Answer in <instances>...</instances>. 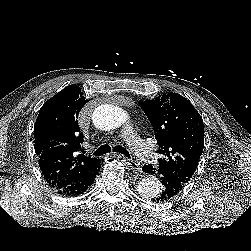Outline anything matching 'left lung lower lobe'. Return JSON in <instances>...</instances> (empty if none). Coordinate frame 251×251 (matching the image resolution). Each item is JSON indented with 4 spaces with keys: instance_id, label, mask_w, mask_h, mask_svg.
Wrapping results in <instances>:
<instances>
[{
    "instance_id": "left-lung-lower-lobe-1",
    "label": "left lung lower lobe",
    "mask_w": 251,
    "mask_h": 251,
    "mask_svg": "<svg viewBox=\"0 0 251 251\" xmlns=\"http://www.w3.org/2000/svg\"><path fill=\"white\" fill-rule=\"evenodd\" d=\"M142 169L145 173L156 175L158 178H160L163 184L160 193L152 199L154 202L158 203L167 201L177 195L184 187L182 182L166 169L159 167L155 168L150 164L143 166Z\"/></svg>"
}]
</instances>
